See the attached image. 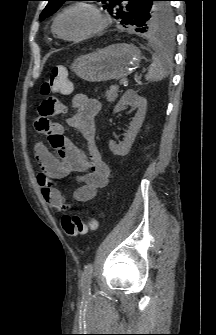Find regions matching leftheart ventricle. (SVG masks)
<instances>
[{
  "instance_id": "1",
  "label": "left heart ventricle",
  "mask_w": 216,
  "mask_h": 335,
  "mask_svg": "<svg viewBox=\"0 0 216 335\" xmlns=\"http://www.w3.org/2000/svg\"><path fill=\"white\" fill-rule=\"evenodd\" d=\"M96 23L94 16L84 9H73L66 12L59 20L58 29L67 37L78 36Z\"/></svg>"
}]
</instances>
